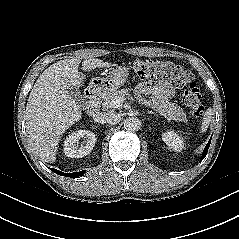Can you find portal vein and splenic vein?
<instances>
[{
	"instance_id": "1",
	"label": "portal vein and splenic vein",
	"mask_w": 239,
	"mask_h": 239,
	"mask_svg": "<svg viewBox=\"0 0 239 239\" xmlns=\"http://www.w3.org/2000/svg\"><path fill=\"white\" fill-rule=\"evenodd\" d=\"M125 101V98L123 97H117L112 100L111 104L114 108H118L122 105V103Z\"/></svg>"
}]
</instances>
